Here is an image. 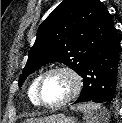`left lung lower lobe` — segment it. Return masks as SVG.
Wrapping results in <instances>:
<instances>
[{
	"label": "left lung lower lobe",
	"instance_id": "1",
	"mask_svg": "<svg viewBox=\"0 0 122 123\" xmlns=\"http://www.w3.org/2000/svg\"><path fill=\"white\" fill-rule=\"evenodd\" d=\"M120 43L116 29L103 39L91 55L80 76L83 77V89L74 102L93 101L112 102L118 93V63Z\"/></svg>",
	"mask_w": 122,
	"mask_h": 123
}]
</instances>
